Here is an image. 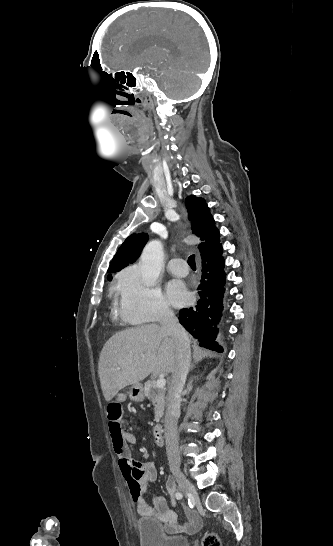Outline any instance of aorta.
<instances>
[{"label":"aorta","mask_w":333,"mask_h":546,"mask_svg":"<svg viewBox=\"0 0 333 546\" xmlns=\"http://www.w3.org/2000/svg\"><path fill=\"white\" fill-rule=\"evenodd\" d=\"M164 260L163 245L159 240L150 241L140 258L142 281L146 286H153L160 275Z\"/></svg>","instance_id":"obj_1"}]
</instances>
